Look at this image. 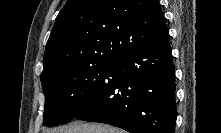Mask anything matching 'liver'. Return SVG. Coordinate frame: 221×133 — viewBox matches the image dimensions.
I'll list each match as a JSON object with an SVG mask.
<instances>
[{"instance_id": "obj_1", "label": "liver", "mask_w": 221, "mask_h": 133, "mask_svg": "<svg viewBox=\"0 0 221 133\" xmlns=\"http://www.w3.org/2000/svg\"><path fill=\"white\" fill-rule=\"evenodd\" d=\"M53 133H124V131L109 125L75 121L53 130Z\"/></svg>"}]
</instances>
